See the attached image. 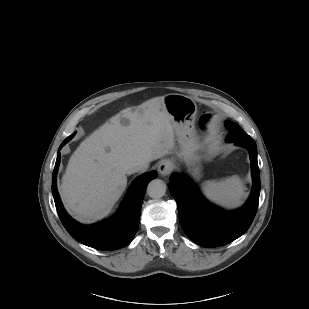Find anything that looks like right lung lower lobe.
<instances>
[{
	"instance_id": "98d812e1",
	"label": "right lung lower lobe",
	"mask_w": 309,
	"mask_h": 309,
	"mask_svg": "<svg viewBox=\"0 0 309 309\" xmlns=\"http://www.w3.org/2000/svg\"><path fill=\"white\" fill-rule=\"evenodd\" d=\"M70 139L66 138L61 147ZM60 163L58 154L52 175V194L60 220L70 235L78 242L99 250H116L129 244L139 226L141 205L146 186L157 177L155 171L139 177L130 188L119 213L110 220L92 226H83L74 221L64 210L56 187Z\"/></svg>"
}]
</instances>
